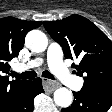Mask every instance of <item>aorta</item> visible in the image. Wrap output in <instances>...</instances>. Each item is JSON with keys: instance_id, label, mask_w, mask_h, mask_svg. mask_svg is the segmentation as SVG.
Listing matches in <instances>:
<instances>
[{"instance_id": "obj_1", "label": "aorta", "mask_w": 112, "mask_h": 112, "mask_svg": "<svg viewBox=\"0 0 112 112\" xmlns=\"http://www.w3.org/2000/svg\"><path fill=\"white\" fill-rule=\"evenodd\" d=\"M25 44L31 51L40 53L47 48L48 39L43 32L32 30L26 35ZM72 100V92L65 87H60L54 92V102L62 108L69 107Z\"/></svg>"}]
</instances>
